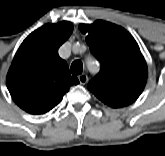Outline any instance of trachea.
<instances>
[{"mask_svg": "<svg viewBox=\"0 0 165 156\" xmlns=\"http://www.w3.org/2000/svg\"><path fill=\"white\" fill-rule=\"evenodd\" d=\"M82 71H83V64L80 60H75L74 62H72L71 73L73 75H79L82 73Z\"/></svg>", "mask_w": 165, "mask_h": 156, "instance_id": "obj_1", "label": "trachea"}]
</instances>
